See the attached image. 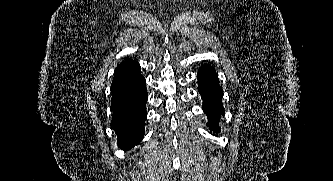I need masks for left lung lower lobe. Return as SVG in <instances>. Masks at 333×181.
Instances as JSON below:
<instances>
[{
    "mask_svg": "<svg viewBox=\"0 0 333 181\" xmlns=\"http://www.w3.org/2000/svg\"><path fill=\"white\" fill-rule=\"evenodd\" d=\"M198 91L203 99V110L209 118L208 126L214 132L219 131L217 120L224 114L223 92L217 81L213 67L202 66L198 71Z\"/></svg>",
    "mask_w": 333,
    "mask_h": 181,
    "instance_id": "1",
    "label": "left lung lower lobe"
}]
</instances>
